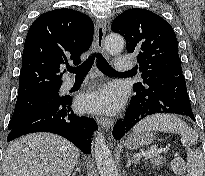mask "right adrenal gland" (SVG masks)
Here are the masks:
<instances>
[{
  "label": "right adrenal gland",
  "instance_id": "2a0ac1e0",
  "mask_svg": "<svg viewBox=\"0 0 205 176\" xmlns=\"http://www.w3.org/2000/svg\"><path fill=\"white\" fill-rule=\"evenodd\" d=\"M76 173H79V174L81 175V170H80V168H79V161H77L76 164H75V170H74V172L72 173V176H75ZM81 176H82V175H81Z\"/></svg>",
  "mask_w": 205,
  "mask_h": 176
}]
</instances>
